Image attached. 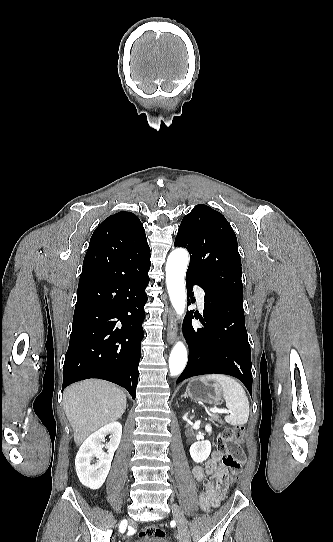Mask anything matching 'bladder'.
Here are the masks:
<instances>
[{
  "label": "bladder",
  "instance_id": "obj_1",
  "mask_svg": "<svg viewBox=\"0 0 333 542\" xmlns=\"http://www.w3.org/2000/svg\"><path fill=\"white\" fill-rule=\"evenodd\" d=\"M133 542H171V540L160 536H152L148 538L137 539Z\"/></svg>",
  "mask_w": 333,
  "mask_h": 542
}]
</instances>
